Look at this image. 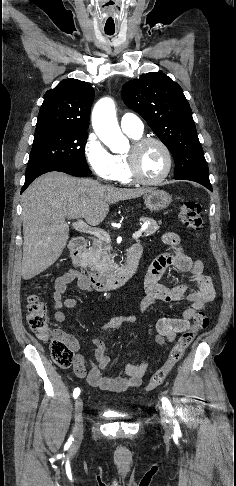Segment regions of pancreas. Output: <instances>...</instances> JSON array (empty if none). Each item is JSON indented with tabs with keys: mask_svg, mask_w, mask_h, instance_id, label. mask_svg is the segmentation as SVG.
Wrapping results in <instances>:
<instances>
[{
	"mask_svg": "<svg viewBox=\"0 0 236 486\" xmlns=\"http://www.w3.org/2000/svg\"><path fill=\"white\" fill-rule=\"evenodd\" d=\"M140 221L148 224L147 229L144 231L146 236L153 235L159 229V225L161 224V222L158 224L154 219L148 217H142ZM110 252V241L99 238L93 239L92 245L85 252L81 260V264L83 267L89 268L90 271L99 274H109L115 268Z\"/></svg>",
	"mask_w": 236,
	"mask_h": 486,
	"instance_id": "cf45deb5",
	"label": "pancreas"
}]
</instances>
